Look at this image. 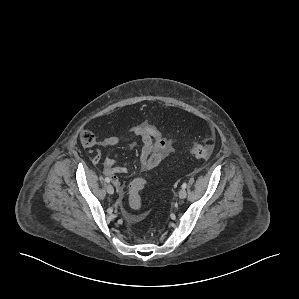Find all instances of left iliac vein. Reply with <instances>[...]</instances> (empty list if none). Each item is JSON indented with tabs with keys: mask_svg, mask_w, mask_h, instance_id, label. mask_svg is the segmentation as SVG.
<instances>
[{
	"mask_svg": "<svg viewBox=\"0 0 299 299\" xmlns=\"http://www.w3.org/2000/svg\"><path fill=\"white\" fill-rule=\"evenodd\" d=\"M178 195H179V198L184 199V198H186V196H187V192H186L185 189H181V190L179 191Z\"/></svg>",
	"mask_w": 299,
	"mask_h": 299,
	"instance_id": "obj_1",
	"label": "left iliac vein"
}]
</instances>
